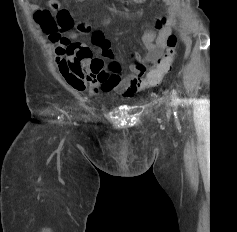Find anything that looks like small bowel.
I'll list each match as a JSON object with an SVG mask.
<instances>
[{
    "mask_svg": "<svg viewBox=\"0 0 237 232\" xmlns=\"http://www.w3.org/2000/svg\"><path fill=\"white\" fill-rule=\"evenodd\" d=\"M162 1L167 5V12L157 21L156 30L143 37L146 55H132L133 64L126 76L113 56L110 42L100 31L93 33L90 45L78 41L61 43L55 49V64L67 83L78 91L88 90L93 96L103 92L133 97L147 87L144 74L162 56L180 7V0Z\"/></svg>",
    "mask_w": 237,
    "mask_h": 232,
    "instance_id": "obj_1",
    "label": "small bowel"
}]
</instances>
